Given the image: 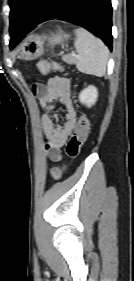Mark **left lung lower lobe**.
I'll return each mask as SVG.
<instances>
[{"label":"left lung lower lobe","instance_id":"obj_1","mask_svg":"<svg viewBox=\"0 0 134 281\" xmlns=\"http://www.w3.org/2000/svg\"><path fill=\"white\" fill-rule=\"evenodd\" d=\"M111 0H46L25 34L14 33L16 44L36 25L60 19L95 33L112 49ZM12 35V36H13Z\"/></svg>","mask_w":134,"mask_h":281}]
</instances>
